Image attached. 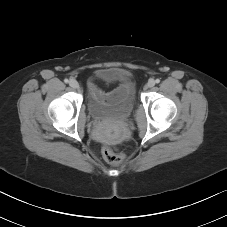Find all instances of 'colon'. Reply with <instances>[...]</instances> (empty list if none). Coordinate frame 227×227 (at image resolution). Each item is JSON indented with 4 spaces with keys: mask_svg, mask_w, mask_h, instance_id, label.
<instances>
[{
    "mask_svg": "<svg viewBox=\"0 0 227 227\" xmlns=\"http://www.w3.org/2000/svg\"><path fill=\"white\" fill-rule=\"evenodd\" d=\"M102 155L111 164H121L125 160L123 154L115 152L110 146H104L102 148Z\"/></svg>",
    "mask_w": 227,
    "mask_h": 227,
    "instance_id": "colon-1",
    "label": "colon"
}]
</instances>
